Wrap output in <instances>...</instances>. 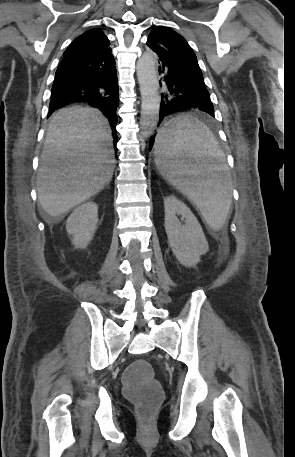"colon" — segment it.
I'll use <instances>...</instances> for the list:
<instances>
[{"label": "colon", "instance_id": "obj_1", "mask_svg": "<svg viewBox=\"0 0 295 457\" xmlns=\"http://www.w3.org/2000/svg\"><path fill=\"white\" fill-rule=\"evenodd\" d=\"M152 363L138 361L129 363L122 377V390L137 407L143 421H148L155 413L162 396V390L153 379Z\"/></svg>", "mask_w": 295, "mask_h": 457}]
</instances>
